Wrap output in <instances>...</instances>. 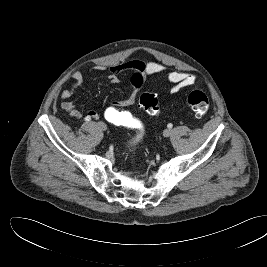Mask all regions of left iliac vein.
I'll list each match as a JSON object with an SVG mask.
<instances>
[{
  "label": "left iliac vein",
  "instance_id": "left-iliac-vein-1",
  "mask_svg": "<svg viewBox=\"0 0 267 267\" xmlns=\"http://www.w3.org/2000/svg\"><path fill=\"white\" fill-rule=\"evenodd\" d=\"M163 135L165 137H170L172 135V130L171 129H165L163 132Z\"/></svg>",
  "mask_w": 267,
  "mask_h": 267
}]
</instances>
